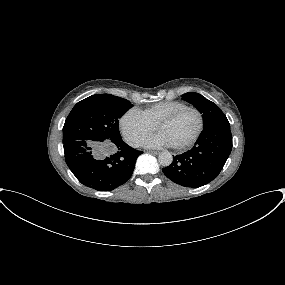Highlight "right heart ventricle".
<instances>
[{"mask_svg":"<svg viewBox=\"0 0 285 285\" xmlns=\"http://www.w3.org/2000/svg\"><path fill=\"white\" fill-rule=\"evenodd\" d=\"M183 106L185 103L181 101H162L137 111L149 124L155 127L161 119Z\"/></svg>","mask_w":285,"mask_h":285,"instance_id":"right-heart-ventricle-1","label":"right heart ventricle"}]
</instances>
